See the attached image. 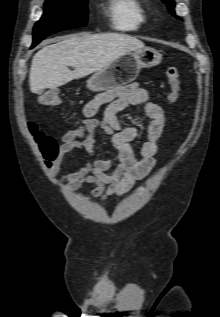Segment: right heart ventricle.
Wrapping results in <instances>:
<instances>
[{
  "mask_svg": "<svg viewBox=\"0 0 220 317\" xmlns=\"http://www.w3.org/2000/svg\"><path fill=\"white\" fill-rule=\"evenodd\" d=\"M108 14L113 29L137 32L148 23V14L139 0H109Z\"/></svg>",
  "mask_w": 220,
  "mask_h": 317,
  "instance_id": "1",
  "label": "right heart ventricle"
}]
</instances>
